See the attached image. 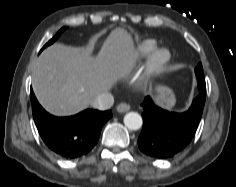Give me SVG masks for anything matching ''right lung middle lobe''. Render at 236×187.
I'll use <instances>...</instances> for the list:
<instances>
[{
	"label": "right lung middle lobe",
	"instance_id": "obj_1",
	"mask_svg": "<svg viewBox=\"0 0 236 187\" xmlns=\"http://www.w3.org/2000/svg\"><path fill=\"white\" fill-rule=\"evenodd\" d=\"M65 29H66V27H63L62 29H60V30L58 31V33H57L48 43L45 44V46L42 48V50H43L45 47H47L48 45L52 44L54 41H56V40L59 38V36L61 35V33H62Z\"/></svg>",
	"mask_w": 236,
	"mask_h": 187
}]
</instances>
